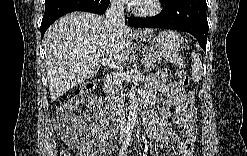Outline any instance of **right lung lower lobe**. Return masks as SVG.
Here are the masks:
<instances>
[{"instance_id": "obj_1", "label": "right lung lower lobe", "mask_w": 247, "mask_h": 156, "mask_svg": "<svg viewBox=\"0 0 247 156\" xmlns=\"http://www.w3.org/2000/svg\"><path fill=\"white\" fill-rule=\"evenodd\" d=\"M110 0H46L45 13L41 23V37L48 27L61 16L73 11L103 14Z\"/></svg>"}]
</instances>
